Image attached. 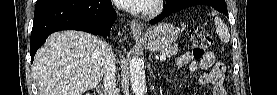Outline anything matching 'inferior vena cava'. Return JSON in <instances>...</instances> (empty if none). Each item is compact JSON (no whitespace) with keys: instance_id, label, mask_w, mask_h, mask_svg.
Wrapping results in <instances>:
<instances>
[{"instance_id":"inferior-vena-cava-1","label":"inferior vena cava","mask_w":277,"mask_h":95,"mask_svg":"<svg viewBox=\"0 0 277 95\" xmlns=\"http://www.w3.org/2000/svg\"><path fill=\"white\" fill-rule=\"evenodd\" d=\"M116 65L115 57L112 50L107 54L104 63V89L107 95H118L119 91L116 88Z\"/></svg>"}]
</instances>
